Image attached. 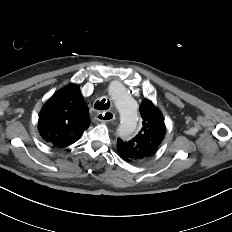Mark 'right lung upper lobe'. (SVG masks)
<instances>
[{"label": "right lung upper lobe", "instance_id": "1", "mask_svg": "<svg viewBox=\"0 0 232 232\" xmlns=\"http://www.w3.org/2000/svg\"><path fill=\"white\" fill-rule=\"evenodd\" d=\"M89 110L76 84L57 91L39 114L41 137L58 148L76 142L90 125Z\"/></svg>", "mask_w": 232, "mask_h": 232}]
</instances>
